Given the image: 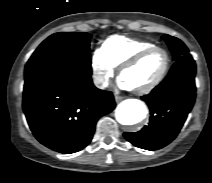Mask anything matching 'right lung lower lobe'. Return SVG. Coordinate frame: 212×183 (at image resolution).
<instances>
[{
    "instance_id": "right-lung-lower-lobe-1",
    "label": "right lung lower lobe",
    "mask_w": 212,
    "mask_h": 183,
    "mask_svg": "<svg viewBox=\"0 0 212 183\" xmlns=\"http://www.w3.org/2000/svg\"><path fill=\"white\" fill-rule=\"evenodd\" d=\"M91 64L44 61L26 64L23 110L36 139L64 154L87 146L98 119L116 106L110 91L96 88Z\"/></svg>"
}]
</instances>
